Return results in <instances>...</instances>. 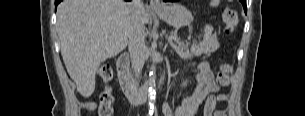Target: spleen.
<instances>
[{
    "mask_svg": "<svg viewBox=\"0 0 305 116\" xmlns=\"http://www.w3.org/2000/svg\"><path fill=\"white\" fill-rule=\"evenodd\" d=\"M210 5L211 6H218L219 5V0H212L211 2H210Z\"/></svg>",
    "mask_w": 305,
    "mask_h": 116,
    "instance_id": "3e777b00",
    "label": "spleen"
}]
</instances>
